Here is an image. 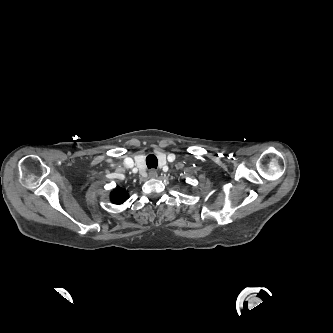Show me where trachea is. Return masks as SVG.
Returning <instances> with one entry per match:
<instances>
[{
    "label": "trachea",
    "instance_id": "3493384b",
    "mask_svg": "<svg viewBox=\"0 0 333 333\" xmlns=\"http://www.w3.org/2000/svg\"><path fill=\"white\" fill-rule=\"evenodd\" d=\"M146 164L149 169L151 168H157L158 166V160L157 157L153 154H150L146 157Z\"/></svg>",
    "mask_w": 333,
    "mask_h": 333
}]
</instances>
